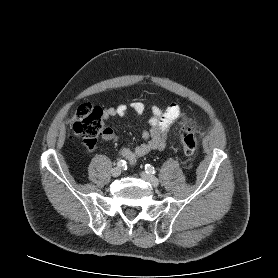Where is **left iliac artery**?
I'll return each mask as SVG.
<instances>
[{
  "label": "left iliac artery",
  "mask_w": 278,
  "mask_h": 278,
  "mask_svg": "<svg viewBox=\"0 0 278 278\" xmlns=\"http://www.w3.org/2000/svg\"><path fill=\"white\" fill-rule=\"evenodd\" d=\"M145 171H146V173H150V174H155L156 173L155 168L150 164L145 165Z\"/></svg>",
  "instance_id": "1"
}]
</instances>
